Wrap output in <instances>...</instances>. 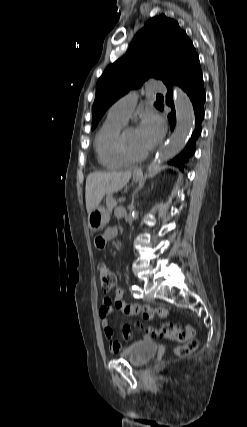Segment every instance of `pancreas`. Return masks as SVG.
Listing matches in <instances>:
<instances>
[{
	"label": "pancreas",
	"instance_id": "cf45deb5",
	"mask_svg": "<svg viewBox=\"0 0 247 427\" xmlns=\"http://www.w3.org/2000/svg\"><path fill=\"white\" fill-rule=\"evenodd\" d=\"M106 205H107L108 211L110 212L113 210V208L116 207L117 201L115 200V198L112 195H108L106 197Z\"/></svg>",
	"mask_w": 247,
	"mask_h": 427
}]
</instances>
